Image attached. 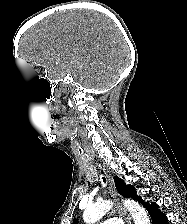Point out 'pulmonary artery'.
I'll return each mask as SVG.
<instances>
[{"label": "pulmonary artery", "mask_w": 187, "mask_h": 224, "mask_svg": "<svg viewBox=\"0 0 187 224\" xmlns=\"http://www.w3.org/2000/svg\"><path fill=\"white\" fill-rule=\"evenodd\" d=\"M99 224H121V223L116 221L115 219H109V220L103 221Z\"/></svg>", "instance_id": "obj_1"}]
</instances>
